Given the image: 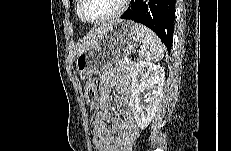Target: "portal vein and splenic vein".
<instances>
[{
    "label": "portal vein and splenic vein",
    "mask_w": 231,
    "mask_h": 151,
    "mask_svg": "<svg viewBox=\"0 0 231 151\" xmlns=\"http://www.w3.org/2000/svg\"><path fill=\"white\" fill-rule=\"evenodd\" d=\"M124 62H125V63H132V60H131L130 58L126 57V58L124 59Z\"/></svg>",
    "instance_id": "1"
}]
</instances>
